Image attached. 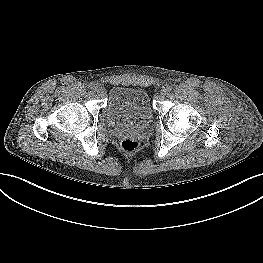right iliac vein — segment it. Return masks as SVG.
<instances>
[{
  "label": "right iliac vein",
  "mask_w": 263,
  "mask_h": 263,
  "mask_svg": "<svg viewBox=\"0 0 263 263\" xmlns=\"http://www.w3.org/2000/svg\"><path fill=\"white\" fill-rule=\"evenodd\" d=\"M93 89H94L95 92H101L102 91V89L99 88L98 86H95Z\"/></svg>",
  "instance_id": "63e3f726"
}]
</instances>
